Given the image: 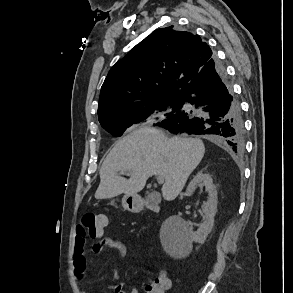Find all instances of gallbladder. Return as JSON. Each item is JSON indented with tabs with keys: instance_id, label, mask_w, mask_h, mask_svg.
<instances>
[{
	"instance_id": "bac80fb5",
	"label": "gallbladder",
	"mask_w": 293,
	"mask_h": 293,
	"mask_svg": "<svg viewBox=\"0 0 293 293\" xmlns=\"http://www.w3.org/2000/svg\"><path fill=\"white\" fill-rule=\"evenodd\" d=\"M155 195L154 194H149L148 196H147V201L149 202V203H151V204H154L155 203Z\"/></svg>"
}]
</instances>
